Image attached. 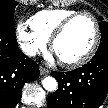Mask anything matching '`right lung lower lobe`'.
<instances>
[{"mask_svg": "<svg viewBox=\"0 0 108 108\" xmlns=\"http://www.w3.org/2000/svg\"><path fill=\"white\" fill-rule=\"evenodd\" d=\"M15 30L0 27V108H14L25 83L39 77V67L17 47Z\"/></svg>", "mask_w": 108, "mask_h": 108, "instance_id": "obj_1", "label": "right lung lower lobe"}]
</instances>
